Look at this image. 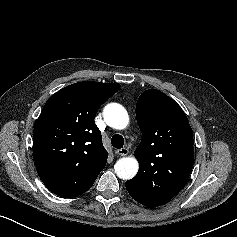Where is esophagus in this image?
<instances>
[{"mask_svg":"<svg viewBox=\"0 0 237 237\" xmlns=\"http://www.w3.org/2000/svg\"><path fill=\"white\" fill-rule=\"evenodd\" d=\"M115 153L120 156H126L129 153V151L127 148H121L116 150Z\"/></svg>","mask_w":237,"mask_h":237,"instance_id":"1","label":"esophagus"}]
</instances>
